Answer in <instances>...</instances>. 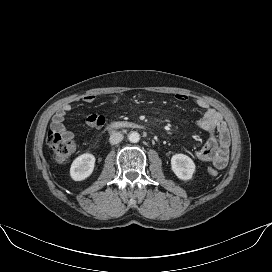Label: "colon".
Listing matches in <instances>:
<instances>
[{
    "label": "colon",
    "instance_id": "obj_1",
    "mask_svg": "<svg viewBox=\"0 0 272 272\" xmlns=\"http://www.w3.org/2000/svg\"><path fill=\"white\" fill-rule=\"evenodd\" d=\"M47 145L52 151V160L57 165L66 164L76 151V144L73 140L63 137L57 131H50L47 136ZM211 176H216L218 170L214 167L208 169Z\"/></svg>",
    "mask_w": 272,
    "mask_h": 272
}]
</instances>
